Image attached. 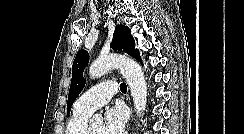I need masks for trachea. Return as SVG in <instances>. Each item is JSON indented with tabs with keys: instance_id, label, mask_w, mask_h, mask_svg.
I'll list each match as a JSON object with an SVG mask.
<instances>
[{
	"instance_id": "trachea-1",
	"label": "trachea",
	"mask_w": 244,
	"mask_h": 134,
	"mask_svg": "<svg viewBox=\"0 0 244 134\" xmlns=\"http://www.w3.org/2000/svg\"><path fill=\"white\" fill-rule=\"evenodd\" d=\"M120 90H121L122 93H126L127 92V85H126V83H121Z\"/></svg>"
}]
</instances>
